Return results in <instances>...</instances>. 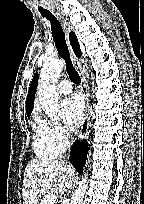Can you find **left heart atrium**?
Segmentation results:
<instances>
[{
    "label": "left heart atrium",
    "instance_id": "left-heart-atrium-1",
    "mask_svg": "<svg viewBox=\"0 0 144 204\" xmlns=\"http://www.w3.org/2000/svg\"><path fill=\"white\" fill-rule=\"evenodd\" d=\"M61 114L66 126L71 131L76 130L80 126L84 115L82 99L77 95L64 99L61 103Z\"/></svg>",
    "mask_w": 144,
    "mask_h": 204
}]
</instances>
